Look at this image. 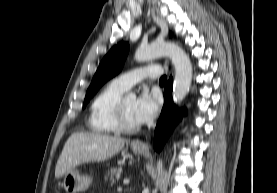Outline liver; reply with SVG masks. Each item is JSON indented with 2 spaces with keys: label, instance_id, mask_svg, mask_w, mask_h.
<instances>
[{
  "label": "liver",
  "instance_id": "liver-1",
  "mask_svg": "<svg viewBox=\"0 0 277 193\" xmlns=\"http://www.w3.org/2000/svg\"><path fill=\"white\" fill-rule=\"evenodd\" d=\"M125 140L94 132L73 133L66 141L55 168L58 179L80 164L105 161L117 154Z\"/></svg>",
  "mask_w": 277,
  "mask_h": 193
}]
</instances>
